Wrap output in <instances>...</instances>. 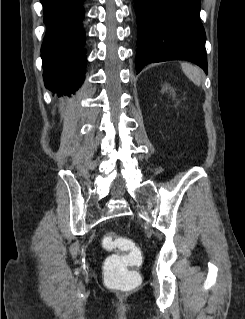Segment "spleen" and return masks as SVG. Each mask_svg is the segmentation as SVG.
<instances>
[{
    "label": "spleen",
    "instance_id": "1",
    "mask_svg": "<svg viewBox=\"0 0 245 319\" xmlns=\"http://www.w3.org/2000/svg\"><path fill=\"white\" fill-rule=\"evenodd\" d=\"M182 71L185 75L197 86L201 85L202 82V71L195 65L187 62L181 63Z\"/></svg>",
    "mask_w": 245,
    "mask_h": 319
}]
</instances>
